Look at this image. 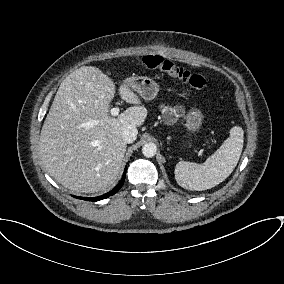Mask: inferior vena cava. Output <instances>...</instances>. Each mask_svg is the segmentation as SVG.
Returning a JSON list of instances; mask_svg holds the SVG:
<instances>
[{
  "instance_id": "602c4592",
  "label": "inferior vena cava",
  "mask_w": 284,
  "mask_h": 284,
  "mask_svg": "<svg viewBox=\"0 0 284 284\" xmlns=\"http://www.w3.org/2000/svg\"><path fill=\"white\" fill-rule=\"evenodd\" d=\"M138 130L134 125H127L122 129L121 136L126 143H132L136 140Z\"/></svg>"
}]
</instances>
